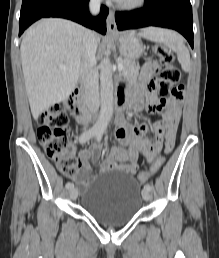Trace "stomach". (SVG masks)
I'll use <instances>...</instances> for the list:
<instances>
[{
	"mask_svg": "<svg viewBox=\"0 0 219 258\" xmlns=\"http://www.w3.org/2000/svg\"><path fill=\"white\" fill-rule=\"evenodd\" d=\"M120 54L127 59H138L143 53V45L134 31L123 32L118 37Z\"/></svg>",
	"mask_w": 219,
	"mask_h": 258,
	"instance_id": "0dacf381",
	"label": "stomach"
}]
</instances>
